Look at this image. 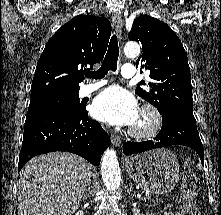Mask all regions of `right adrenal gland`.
Segmentation results:
<instances>
[{
    "label": "right adrenal gland",
    "mask_w": 221,
    "mask_h": 215,
    "mask_svg": "<svg viewBox=\"0 0 221 215\" xmlns=\"http://www.w3.org/2000/svg\"><path fill=\"white\" fill-rule=\"evenodd\" d=\"M90 186H91V182L89 181L85 190H84L83 198H85L87 196V192L90 190Z\"/></svg>",
    "instance_id": "1"
}]
</instances>
